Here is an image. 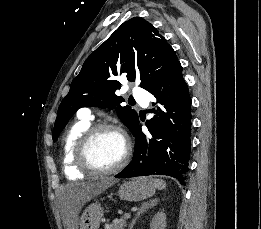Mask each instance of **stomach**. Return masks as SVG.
I'll return each instance as SVG.
<instances>
[{"label":"stomach","instance_id":"1","mask_svg":"<svg viewBox=\"0 0 261 229\" xmlns=\"http://www.w3.org/2000/svg\"><path fill=\"white\" fill-rule=\"evenodd\" d=\"M157 187L151 179H133L129 183H123L118 193L123 201H144L152 197ZM103 217L101 205L93 203L85 209L80 219V229H99Z\"/></svg>","mask_w":261,"mask_h":229}]
</instances>
